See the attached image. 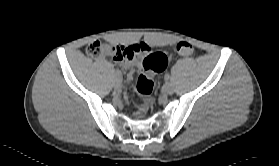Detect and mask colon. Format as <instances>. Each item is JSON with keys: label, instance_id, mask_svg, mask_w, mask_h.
I'll return each instance as SVG.
<instances>
[{"label": "colon", "instance_id": "5ec220e1", "mask_svg": "<svg viewBox=\"0 0 279 166\" xmlns=\"http://www.w3.org/2000/svg\"><path fill=\"white\" fill-rule=\"evenodd\" d=\"M138 46H120L110 45L95 41L88 45L86 53L91 57H99L102 54L110 53L117 58H131L139 52ZM176 53L181 57H191L194 54V47L189 42H179L176 45ZM166 64L162 53H147L143 59V72L138 76L136 83L137 92L143 97L151 94L154 88L153 74L164 70ZM147 101L144 99L141 104V110L145 111Z\"/></svg>", "mask_w": 279, "mask_h": 166}]
</instances>
